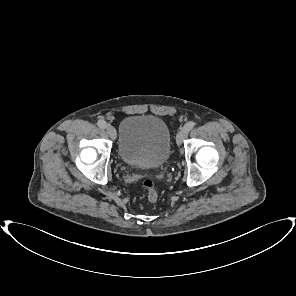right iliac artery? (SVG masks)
<instances>
[{
	"instance_id": "1",
	"label": "right iliac artery",
	"mask_w": 296,
	"mask_h": 296,
	"mask_svg": "<svg viewBox=\"0 0 296 296\" xmlns=\"http://www.w3.org/2000/svg\"><path fill=\"white\" fill-rule=\"evenodd\" d=\"M97 125L102 129H105L107 127V123L104 120H99L97 122Z\"/></svg>"
}]
</instances>
